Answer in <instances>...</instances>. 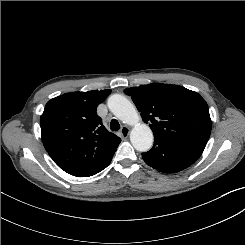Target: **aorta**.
Masks as SVG:
<instances>
[{"mask_svg": "<svg viewBox=\"0 0 245 245\" xmlns=\"http://www.w3.org/2000/svg\"><path fill=\"white\" fill-rule=\"evenodd\" d=\"M109 110L121 121L133 126L130 140L137 151L146 152L153 144L151 129L141 122L134 105L120 94L111 95L108 99Z\"/></svg>", "mask_w": 245, "mask_h": 245, "instance_id": "aorta-1", "label": "aorta"}]
</instances>
